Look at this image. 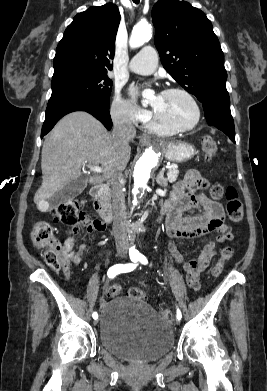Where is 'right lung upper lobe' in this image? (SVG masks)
<instances>
[{"instance_id": "obj_1", "label": "right lung upper lobe", "mask_w": 267, "mask_h": 391, "mask_svg": "<svg viewBox=\"0 0 267 391\" xmlns=\"http://www.w3.org/2000/svg\"><path fill=\"white\" fill-rule=\"evenodd\" d=\"M119 22V10L112 3L77 14L57 46L53 76L111 70Z\"/></svg>"}]
</instances>
